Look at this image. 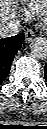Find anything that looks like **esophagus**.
I'll return each instance as SVG.
<instances>
[{"instance_id":"obj_1","label":"esophagus","mask_w":47,"mask_h":129,"mask_svg":"<svg viewBox=\"0 0 47 129\" xmlns=\"http://www.w3.org/2000/svg\"><path fill=\"white\" fill-rule=\"evenodd\" d=\"M34 36H35V33L32 29H27L25 31V40L27 42H30L34 38Z\"/></svg>"}]
</instances>
